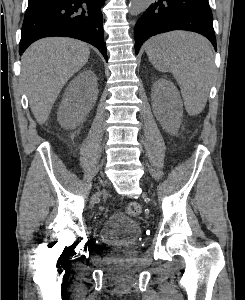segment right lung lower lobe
Wrapping results in <instances>:
<instances>
[{
	"mask_svg": "<svg viewBox=\"0 0 245 300\" xmlns=\"http://www.w3.org/2000/svg\"><path fill=\"white\" fill-rule=\"evenodd\" d=\"M103 3L104 0H41L28 4L19 54L40 38L64 36L92 44L107 60L101 13Z\"/></svg>",
	"mask_w": 245,
	"mask_h": 300,
	"instance_id": "obj_1",
	"label": "right lung lower lobe"
}]
</instances>
